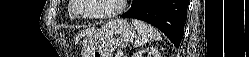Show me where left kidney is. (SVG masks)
<instances>
[{
  "label": "left kidney",
  "mask_w": 249,
  "mask_h": 57,
  "mask_svg": "<svg viewBox=\"0 0 249 57\" xmlns=\"http://www.w3.org/2000/svg\"><path fill=\"white\" fill-rule=\"evenodd\" d=\"M132 57H161V53L155 47H148L137 51Z\"/></svg>",
  "instance_id": "5707ae66"
}]
</instances>
